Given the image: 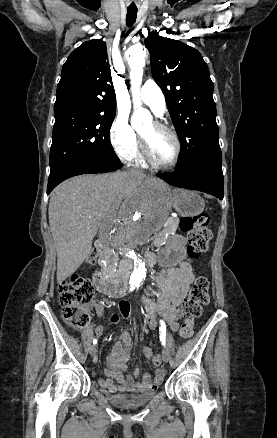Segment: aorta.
<instances>
[{"label": "aorta", "instance_id": "aorta-1", "mask_svg": "<svg viewBox=\"0 0 277 438\" xmlns=\"http://www.w3.org/2000/svg\"><path fill=\"white\" fill-rule=\"evenodd\" d=\"M130 66V80L134 102L131 124L134 128L151 121L148 110L141 107L138 96L145 66V50L141 45H134L126 52ZM170 210L166 192L155 185L138 190L129 200L117 225L110 233L109 243L117 252L134 262L130 276V290L139 287L146 277L145 262L138 255L139 249L157 233L165 223Z\"/></svg>", "mask_w": 277, "mask_h": 438}]
</instances>
